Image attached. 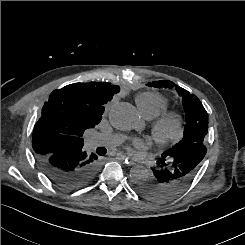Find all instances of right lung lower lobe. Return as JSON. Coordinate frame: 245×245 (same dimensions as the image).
<instances>
[{
  "label": "right lung lower lobe",
  "instance_id": "1",
  "mask_svg": "<svg viewBox=\"0 0 245 245\" xmlns=\"http://www.w3.org/2000/svg\"><path fill=\"white\" fill-rule=\"evenodd\" d=\"M45 175L58 187L72 191L88 185L96 176L99 164L96 154L81 147H68L47 158H38Z\"/></svg>",
  "mask_w": 245,
  "mask_h": 245
}]
</instances>
